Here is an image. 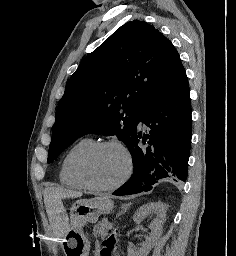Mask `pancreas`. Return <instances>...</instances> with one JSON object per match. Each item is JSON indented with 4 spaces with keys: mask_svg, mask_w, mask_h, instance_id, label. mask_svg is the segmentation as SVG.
<instances>
[{
    "mask_svg": "<svg viewBox=\"0 0 236 256\" xmlns=\"http://www.w3.org/2000/svg\"><path fill=\"white\" fill-rule=\"evenodd\" d=\"M108 230H111V226H108L105 222H98L94 228L93 236L95 238H106Z\"/></svg>",
    "mask_w": 236,
    "mask_h": 256,
    "instance_id": "1",
    "label": "pancreas"
}]
</instances>
